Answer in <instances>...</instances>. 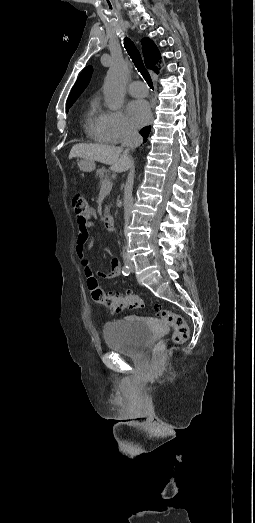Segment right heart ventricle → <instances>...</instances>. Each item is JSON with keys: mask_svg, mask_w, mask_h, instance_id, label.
Returning <instances> with one entry per match:
<instances>
[{"mask_svg": "<svg viewBox=\"0 0 255 523\" xmlns=\"http://www.w3.org/2000/svg\"><path fill=\"white\" fill-rule=\"evenodd\" d=\"M85 131L90 140L99 144H108L116 141L110 123L109 112L99 103L93 102L88 112Z\"/></svg>", "mask_w": 255, "mask_h": 523, "instance_id": "right-heart-ventricle-1", "label": "right heart ventricle"}]
</instances>
